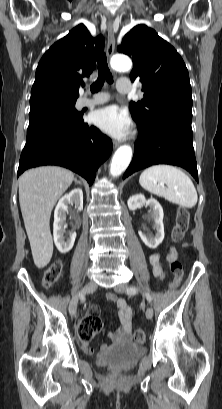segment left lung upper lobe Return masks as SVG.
I'll list each match as a JSON object with an SVG mask.
<instances>
[{"instance_id":"left-lung-upper-lobe-1","label":"left lung upper lobe","mask_w":222,"mask_h":409,"mask_svg":"<svg viewBox=\"0 0 222 409\" xmlns=\"http://www.w3.org/2000/svg\"><path fill=\"white\" fill-rule=\"evenodd\" d=\"M118 50L132 57L134 67L130 78L142 83L143 99L129 105L137 123L168 116L192 121L188 70L173 46L141 24L124 36Z\"/></svg>"}]
</instances>
